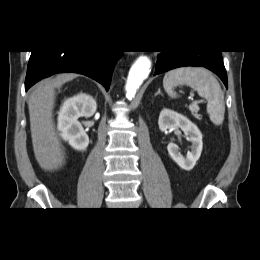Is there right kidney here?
Wrapping results in <instances>:
<instances>
[{
	"mask_svg": "<svg viewBox=\"0 0 260 260\" xmlns=\"http://www.w3.org/2000/svg\"><path fill=\"white\" fill-rule=\"evenodd\" d=\"M96 109L93 97L82 93L66 99L60 108L57 128L62 139L75 150L85 151L89 144V137L78 118L91 117Z\"/></svg>",
	"mask_w": 260,
	"mask_h": 260,
	"instance_id": "right-kidney-1",
	"label": "right kidney"
}]
</instances>
